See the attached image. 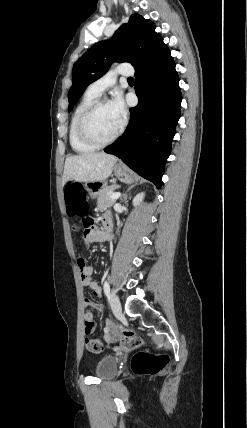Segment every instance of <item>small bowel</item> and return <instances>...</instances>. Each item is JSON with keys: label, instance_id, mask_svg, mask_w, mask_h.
Here are the masks:
<instances>
[{"label": "small bowel", "instance_id": "1", "mask_svg": "<svg viewBox=\"0 0 247 428\" xmlns=\"http://www.w3.org/2000/svg\"><path fill=\"white\" fill-rule=\"evenodd\" d=\"M106 219H110V217L106 215L102 218V221L104 222ZM107 237H108V233H104L102 231V229H96V228H91L84 235L85 241L87 243L104 241ZM79 269H80V277H81L82 285L84 287L90 288L95 297H101V295H102L101 286L96 281H94L92 279L93 267L87 265L84 262V264L82 266H79ZM84 300L90 301V299H88V298H85ZM83 307H84V320L87 317H90L94 321V317H93L92 312L89 310V306L83 304Z\"/></svg>", "mask_w": 247, "mask_h": 428}]
</instances>
